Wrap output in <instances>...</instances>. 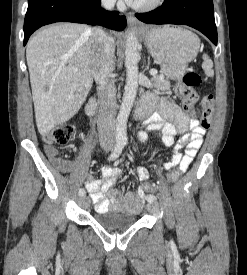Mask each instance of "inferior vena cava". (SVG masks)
I'll list each match as a JSON object with an SVG mask.
<instances>
[{
  "label": "inferior vena cava",
  "mask_w": 247,
  "mask_h": 275,
  "mask_svg": "<svg viewBox=\"0 0 247 275\" xmlns=\"http://www.w3.org/2000/svg\"><path fill=\"white\" fill-rule=\"evenodd\" d=\"M116 0H102L101 4L107 10H112ZM91 67L92 75L98 87L99 100L98 133L102 146L112 147L116 138V87L111 78L114 67V38L101 28L91 31Z\"/></svg>",
  "instance_id": "602c4592"
}]
</instances>
